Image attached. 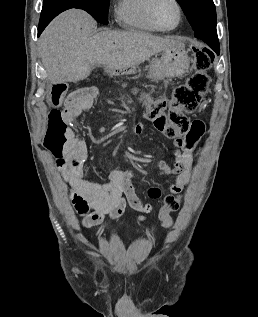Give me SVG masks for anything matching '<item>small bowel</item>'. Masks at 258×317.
I'll use <instances>...</instances> for the list:
<instances>
[{"instance_id": "1", "label": "small bowel", "mask_w": 258, "mask_h": 317, "mask_svg": "<svg viewBox=\"0 0 258 317\" xmlns=\"http://www.w3.org/2000/svg\"><path fill=\"white\" fill-rule=\"evenodd\" d=\"M93 87L84 88L72 92L66 98L63 110L71 118L78 117L83 112L92 108L95 97ZM136 133L143 131V124L138 123ZM205 134V124L201 120H194L189 132L173 142L174 162L169 165L165 161L158 163L159 175L175 178L168 182V189L173 194L180 193L191 181L192 169L198 156L194 152ZM57 158V166L62 170L64 181L69 187V195L75 211L83 217L84 227L100 225L107 218L117 219L125 211L126 207L147 214L152 211L150 204H143L137 196L131 183V174L119 169L108 173L106 182H93L85 177V163L88 159V146L75 134L69 144L59 153L53 152ZM152 199L161 196L158 187L148 190ZM144 220V216H140Z\"/></svg>"}]
</instances>
